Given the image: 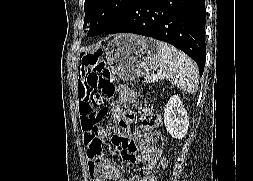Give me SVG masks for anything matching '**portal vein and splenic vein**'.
<instances>
[{
	"mask_svg": "<svg viewBox=\"0 0 253 181\" xmlns=\"http://www.w3.org/2000/svg\"><path fill=\"white\" fill-rule=\"evenodd\" d=\"M158 78H159L158 75H151L148 79L151 82H157ZM160 78H162V77H160Z\"/></svg>",
	"mask_w": 253,
	"mask_h": 181,
	"instance_id": "obj_1",
	"label": "portal vein and splenic vein"
}]
</instances>
